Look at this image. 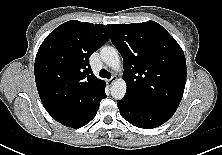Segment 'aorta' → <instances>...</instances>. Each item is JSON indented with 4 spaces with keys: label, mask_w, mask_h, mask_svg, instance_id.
Segmentation results:
<instances>
[{
    "label": "aorta",
    "mask_w": 222,
    "mask_h": 155,
    "mask_svg": "<svg viewBox=\"0 0 222 155\" xmlns=\"http://www.w3.org/2000/svg\"><path fill=\"white\" fill-rule=\"evenodd\" d=\"M100 56L103 62L114 70L120 69V57L117 49L112 46L101 48ZM126 83L123 79H117L112 82L111 95L115 99H122L126 93Z\"/></svg>",
    "instance_id": "762f6f07"
}]
</instances>
